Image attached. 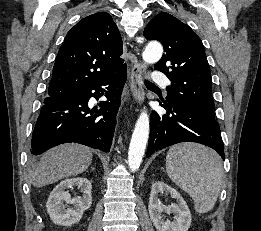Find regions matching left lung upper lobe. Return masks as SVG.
<instances>
[{"label": "left lung upper lobe", "instance_id": "5c2ea615", "mask_svg": "<svg viewBox=\"0 0 261 231\" xmlns=\"http://www.w3.org/2000/svg\"><path fill=\"white\" fill-rule=\"evenodd\" d=\"M149 40L162 43L165 53L155 65L172 82L168 102H180L215 117L211 73L200 38L168 13L156 15L144 29Z\"/></svg>", "mask_w": 261, "mask_h": 231}]
</instances>
